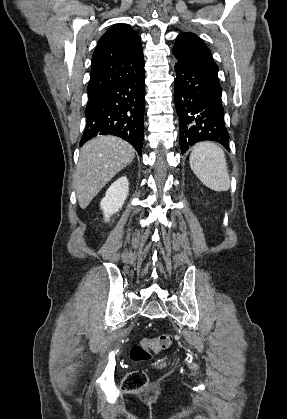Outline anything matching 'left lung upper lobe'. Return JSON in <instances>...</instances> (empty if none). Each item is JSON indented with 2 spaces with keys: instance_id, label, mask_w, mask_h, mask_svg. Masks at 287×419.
I'll return each instance as SVG.
<instances>
[{
  "instance_id": "5c2ea615",
  "label": "left lung upper lobe",
  "mask_w": 287,
  "mask_h": 419,
  "mask_svg": "<svg viewBox=\"0 0 287 419\" xmlns=\"http://www.w3.org/2000/svg\"><path fill=\"white\" fill-rule=\"evenodd\" d=\"M177 63L191 68L217 67L204 42L192 33H181L172 50Z\"/></svg>"
}]
</instances>
